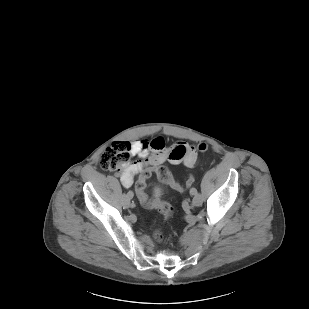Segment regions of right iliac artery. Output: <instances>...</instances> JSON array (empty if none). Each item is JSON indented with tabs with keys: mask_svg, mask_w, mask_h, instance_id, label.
I'll use <instances>...</instances> for the list:
<instances>
[{
	"mask_svg": "<svg viewBox=\"0 0 309 309\" xmlns=\"http://www.w3.org/2000/svg\"><path fill=\"white\" fill-rule=\"evenodd\" d=\"M126 195H127V197H129V198H130V197H133V194H132V192H131L130 190H129V192H127Z\"/></svg>",
	"mask_w": 309,
	"mask_h": 309,
	"instance_id": "obj_1",
	"label": "right iliac artery"
}]
</instances>
